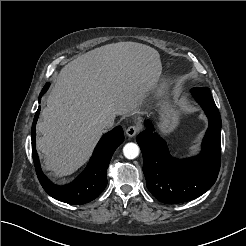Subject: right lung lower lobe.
Returning <instances> with one entry per match:
<instances>
[{"label": "right lung lower lobe", "mask_w": 246, "mask_h": 246, "mask_svg": "<svg viewBox=\"0 0 246 246\" xmlns=\"http://www.w3.org/2000/svg\"><path fill=\"white\" fill-rule=\"evenodd\" d=\"M46 83L39 95L41 96L49 87ZM40 106L35 113L32 124V157L37 177L44 190L53 198L68 203L80 205L92 201L100 195L107 185L106 171L111 157L116 148L124 141V133L121 126H118L105 134L96 146L93 156L85 171L72 183L58 186L53 184L42 172L38 154L35 147L36 122L39 116Z\"/></svg>", "instance_id": "obj_1"}]
</instances>
